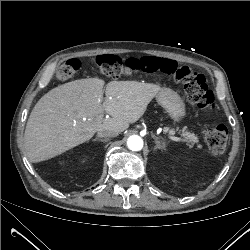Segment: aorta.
Listing matches in <instances>:
<instances>
[{"label": "aorta", "instance_id": "aorta-1", "mask_svg": "<svg viewBox=\"0 0 250 250\" xmlns=\"http://www.w3.org/2000/svg\"><path fill=\"white\" fill-rule=\"evenodd\" d=\"M128 148L132 151H139L143 148V140L138 135H133L128 138Z\"/></svg>", "mask_w": 250, "mask_h": 250}]
</instances>
